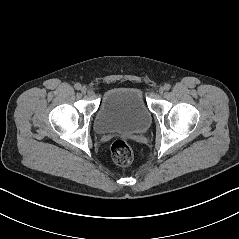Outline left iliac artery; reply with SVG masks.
I'll list each match as a JSON object with an SVG mask.
<instances>
[{
    "instance_id": "obj_1",
    "label": "left iliac artery",
    "mask_w": 239,
    "mask_h": 239,
    "mask_svg": "<svg viewBox=\"0 0 239 239\" xmlns=\"http://www.w3.org/2000/svg\"><path fill=\"white\" fill-rule=\"evenodd\" d=\"M164 88H165V90H170L171 86H170V84H165Z\"/></svg>"
}]
</instances>
